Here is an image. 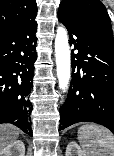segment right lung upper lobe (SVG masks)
<instances>
[{
	"label": "right lung upper lobe",
	"instance_id": "1",
	"mask_svg": "<svg viewBox=\"0 0 114 156\" xmlns=\"http://www.w3.org/2000/svg\"><path fill=\"white\" fill-rule=\"evenodd\" d=\"M35 0H0V33L36 16Z\"/></svg>",
	"mask_w": 114,
	"mask_h": 156
}]
</instances>
